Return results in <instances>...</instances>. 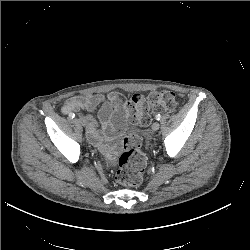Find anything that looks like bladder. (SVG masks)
Instances as JSON below:
<instances>
[{
    "label": "bladder",
    "instance_id": "bladder-1",
    "mask_svg": "<svg viewBox=\"0 0 250 250\" xmlns=\"http://www.w3.org/2000/svg\"><path fill=\"white\" fill-rule=\"evenodd\" d=\"M121 123V122H120ZM131 130H129L127 127H125L124 125H121V128H120V134L121 136L124 138V141L126 142L127 139L131 138L132 137V134H131Z\"/></svg>",
    "mask_w": 250,
    "mask_h": 250
}]
</instances>
